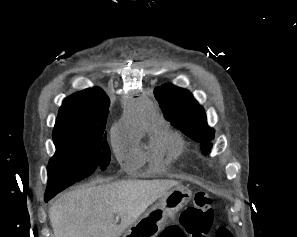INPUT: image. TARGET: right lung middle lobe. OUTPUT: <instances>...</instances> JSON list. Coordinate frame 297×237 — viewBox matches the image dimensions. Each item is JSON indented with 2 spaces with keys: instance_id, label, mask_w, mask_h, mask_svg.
<instances>
[{
  "instance_id": "1",
  "label": "right lung middle lobe",
  "mask_w": 297,
  "mask_h": 237,
  "mask_svg": "<svg viewBox=\"0 0 297 237\" xmlns=\"http://www.w3.org/2000/svg\"><path fill=\"white\" fill-rule=\"evenodd\" d=\"M56 152L48 164L45 196L57 193L92 174L96 167L105 169L110 150L104 126H63L54 128Z\"/></svg>"
}]
</instances>
